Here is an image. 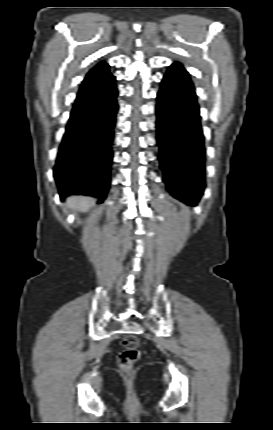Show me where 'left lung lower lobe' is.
Returning <instances> with one entry per match:
<instances>
[{
    "mask_svg": "<svg viewBox=\"0 0 273 430\" xmlns=\"http://www.w3.org/2000/svg\"><path fill=\"white\" fill-rule=\"evenodd\" d=\"M187 72L171 68L158 92L157 129L160 167L168 191L196 206L205 188V147L199 105Z\"/></svg>",
    "mask_w": 273,
    "mask_h": 430,
    "instance_id": "0a47b994",
    "label": "left lung lower lobe"
}]
</instances>
